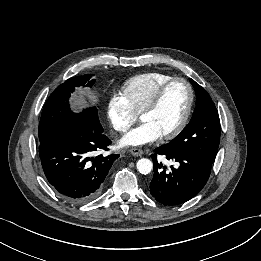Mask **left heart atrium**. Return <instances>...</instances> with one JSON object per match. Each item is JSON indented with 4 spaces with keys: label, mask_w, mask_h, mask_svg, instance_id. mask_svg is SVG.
<instances>
[{
    "label": "left heart atrium",
    "mask_w": 261,
    "mask_h": 261,
    "mask_svg": "<svg viewBox=\"0 0 261 261\" xmlns=\"http://www.w3.org/2000/svg\"><path fill=\"white\" fill-rule=\"evenodd\" d=\"M161 135L148 123L129 131L121 140L122 146H139L158 140Z\"/></svg>",
    "instance_id": "left-heart-atrium-1"
}]
</instances>
